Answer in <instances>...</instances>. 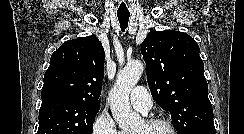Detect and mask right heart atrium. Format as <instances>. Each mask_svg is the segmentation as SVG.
<instances>
[{
	"label": "right heart atrium",
	"instance_id": "obj_1",
	"mask_svg": "<svg viewBox=\"0 0 244 134\" xmlns=\"http://www.w3.org/2000/svg\"><path fill=\"white\" fill-rule=\"evenodd\" d=\"M91 134H123V132L118 129L111 114L103 110L95 118L92 124Z\"/></svg>",
	"mask_w": 244,
	"mask_h": 134
}]
</instances>
